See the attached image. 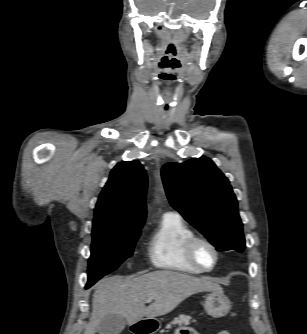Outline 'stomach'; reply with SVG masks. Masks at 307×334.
Returning <instances> with one entry per match:
<instances>
[{
    "instance_id": "stomach-1",
    "label": "stomach",
    "mask_w": 307,
    "mask_h": 334,
    "mask_svg": "<svg viewBox=\"0 0 307 334\" xmlns=\"http://www.w3.org/2000/svg\"><path fill=\"white\" fill-rule=\"evenodd\" d=\"M204 309L206 313L214 318L225 316L231 309V302L223 293V291H211L207 294ZM145 328L154 332L159 328L156 320H144Z\"/></svg>"
}]
</instances>
